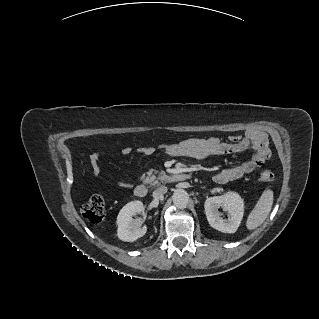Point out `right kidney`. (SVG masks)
<instances>
[{
    "mask_svg": "<svg viewBox=\"0 0 319 319\" xmlns=\"http://www.w3.org/2000/svg\"><path fill=\"white\" fill-rule=\"evenodd\" d=\"M143 203L139 200L127 203L117 216V235L122 241L133 242L146 233V226L142 227L143 219H133L132 216L143 212Z\"/></svg>",
    "mask_w": 319,
    "mask_h": 319,
    "instance_id": "right-kidney-1",
    "label": "right kidney"
}]
</instances>
